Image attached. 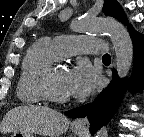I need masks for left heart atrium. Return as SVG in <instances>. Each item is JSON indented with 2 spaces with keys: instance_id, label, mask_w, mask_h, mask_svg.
Listing matches in <instances>:
<instances>
[{
  "instance_id": "left-heart-atrium-1",
  "label": "left heart atrium",
  "mask_w": 144,
  "mask_h": 137,
  "mask_svg": "<svg viewBox=\"0 0 144 137\" xmlns=\"http://www.w3.org/2000/svg\"><path fill=\"white\" fill-rule=\"evenodd\" d=\"M98 82V74L95 69L85 62H80L69 71L66 88L70 96L84 98L90 95Z\"/></svg>"
}]
</instances>
